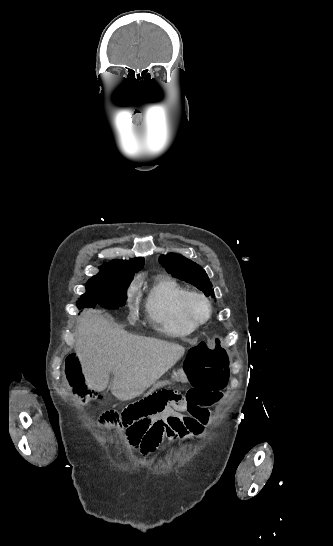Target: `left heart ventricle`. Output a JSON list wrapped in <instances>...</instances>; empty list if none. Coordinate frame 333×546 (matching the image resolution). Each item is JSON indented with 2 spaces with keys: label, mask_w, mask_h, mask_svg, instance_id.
<instances>
[{
  "label": "left heart ventricle",
  "mask_w": 333,
  "mask_h": 546,
  "mask_svg": "<svg viewBox=\"0 0 333 546\" xmlns=\"http://www.w3.org/2000/svg\"><path fill=\"white\" fill-rule=\"evenodd\" d=\"M195 312L199 317H204L206 315V308L202 304H197L195 306Z\"/></svg>",
  "instance_id": "b2bd125f"
}]
</instances>
